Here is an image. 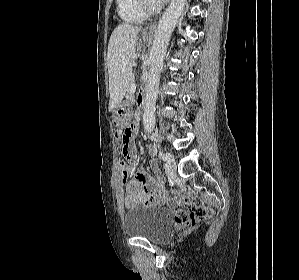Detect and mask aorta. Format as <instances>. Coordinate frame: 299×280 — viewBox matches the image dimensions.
Returning a JSON list of instances; mask_svg holds the SVG:
<instances>
[{"mask_svg":"<svg viewBox=\"0 0 299 280\" xmlns=\"http://www.w3.org/2000/svg\"><path fill=\"white\" fill-rule=\"evenodd\" d=\"M186 0H172L160 19L155 31L151 66L146 83L145 109L143 114L144 129L152 132L155 126L156 100L158 96L160 73L172 32L184 11Z\"/></svg>","mask_w":299,"mask_h":280,"instance_id":"1","label":"aorta"}]
</instances>
